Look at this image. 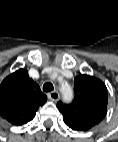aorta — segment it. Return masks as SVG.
Instances as JSON below:
<instances>
[{
    "label": "aorta",
    "mask_w": 118,
    "mask_h": 142,
    "mask_svg": "<svg viewBox=\"0 0 118 142\" xmlns=\"http://www.w3.org/2000/svg\"><path fill=\"white\" fill-rule=\"evenodd\" d=\"M60 92L65 101H71L73 98V89L67 82H62L60 85Z\"/></svg>",
    "instance_id": "1"
}]
</instances>
